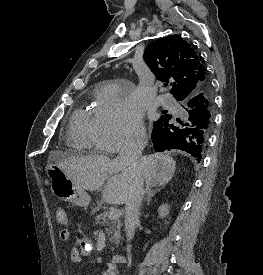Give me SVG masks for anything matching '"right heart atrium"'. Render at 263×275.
Masks as SVG:
<instances>
[{
    "label": "right heart atrium",
    "instance_id": "right-heart-atrium-1",
    "mask_svg": "<svg viewBox=\"0 0 263 275\" xmlns=\"http://www.w3.org/2000/svg\"><path fill=\"white\" fill-rule=\"evenodd\" d=\"M98 147L109 153L141 143L145 138L142 112L132 93L110 87L98 106Z\"/></svg>",
    "mask_w": 263,
    "mask_h": 275
}]
</instances>
